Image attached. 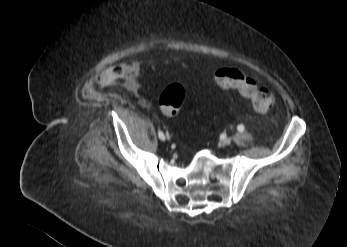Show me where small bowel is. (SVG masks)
Wrapping results in <instances>:
<instances>
[{
    "instance_id": "1",
    "label": "small bowel",
    "mask_w": 347,
    "mask_h": 247,
    "mask_svg": "<svg viewBox=\"0 0 347 247\" xmlns=\"http://www.w3.org/2000/svg\"><path fill=\"white\" fill-rule=\"evenodd\" d=\"M140 68L134 62L107 67L99 76L98 83L121 81L128 89L139 88Z\"/></svg>"
}]
</instances>
